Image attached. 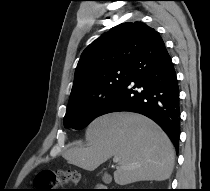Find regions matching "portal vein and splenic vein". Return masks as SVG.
Here are the masks:
<instances>
[{
  "label": "portal vein and splenic vein",
  "instance_id": "obj_1",
  "mask_svg": "<svg viewBox=\"0 0 210 191\" xmlns=\"http://www.w3.org/2000/svg\"><path fill=\"white\" fill-rule=\"evenodd\" d=\"M118 161H119V158L117 156H114L113 162H118Z\"/></svg>",
  "mask_w": 210,
  "mask_h": 191
}]
</instances>
